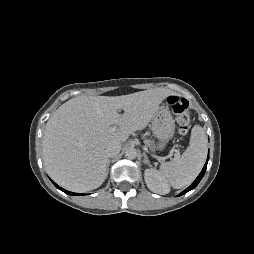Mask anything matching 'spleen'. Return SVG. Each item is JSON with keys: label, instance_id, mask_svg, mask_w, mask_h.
I'll list each match as a JSON object with an SVG mask.
<instances>
[{"label": "spleen", "instance_id": "3e777b00", "mask_svg": "<svg viewBox=\"0 0 254 254\" xmlns=\"http://www.w3.org/2000/svg\"><path fill=\"white\" fill-rule=\"evenodd\" d=\"M207 156V136L203 128H192L189 146L180 158L162 163L161 175L175 188L188 186L200 173Z\"/></svg>", "mask_w": 254, "mask_h": 254}]
</instances>
